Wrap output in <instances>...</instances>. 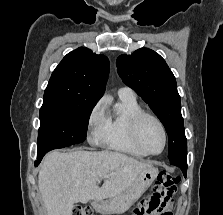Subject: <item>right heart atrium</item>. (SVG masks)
I'll return each instance as SVG.
<instances>
[{"label":"right heart atrium","mask_w":223,"mask_h":215,"mask_svg":"<svg viewBox=\"0 0 223 215\" xmlns=\"http://www.w3.org/2000/svg\"><path fill=\"white\" fill-rule=\"evenodd\" d=\"M106 124V111L101 102H97L90 111L87 128L92 131L93 140H98L100 132Z\"/></svg>","instance_id":"d8ad5b80"}]
</instances>
